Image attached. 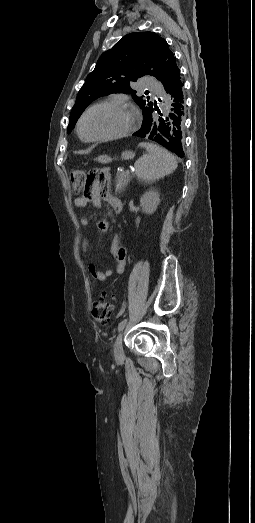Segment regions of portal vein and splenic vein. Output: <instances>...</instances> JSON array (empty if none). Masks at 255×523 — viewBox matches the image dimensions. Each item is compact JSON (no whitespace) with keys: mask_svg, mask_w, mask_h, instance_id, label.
Masks as SVG:
<instances>
[{"mask_svg":"<svg viewBox=\"0 0 255 523\" xmlns=\"http://www.w3.org/2000/svg\"><path fill=\"white\" fill-rule=\"evenodd\" d=\"M125 172H126L127 174H130V173L132 172V169H131L130 167H127V168L125 169Z\"/></svg>","mask_w":255,"mask_h":523,"instance_id":"obj_1","label":"portal vein and splenic vein"}]
</instances>
